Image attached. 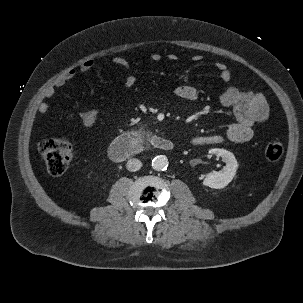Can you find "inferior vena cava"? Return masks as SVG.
I'll return each instance as SVG.
<instances>
[{"mask_svg": "<svg viewBox=\"0 0 303 303\" xmlns=\"http://www.w3.org/2000/svg\"><path fill=\"white\" fill-rule=\"evenodd\" d=\"M127 170L135 172L142 167V162L136 158L129 159L126 164Z\"/></svg>", "mask_w": 303, "mask_h": 303, "instance_id": "inferior-vena-cava-1", "label": "inferior vena cava"}]
</instances>
